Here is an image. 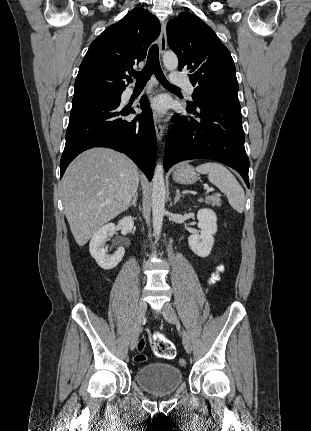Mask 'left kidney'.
Wrapping results in <instances>:
<instances>
[{
  "instance_id": "1",
  "label": "left kidney",
  "mask_w": 311,
  "mask_h": 431,
  "mask_svg": "<svg viewBox=\"0 0 311 431\" xmlns=\"http://www.w3.org/2000/svg\"><path fill=\"white\" fill-rule=\"evenodd\" d=\"M198 227L201 235H189L188 243L199 257H207L214 245V235L217 231V216L213 210L203 208L197 212Z\"/></svg>"
}]
</instances>
